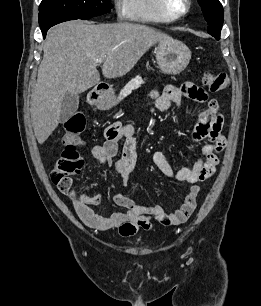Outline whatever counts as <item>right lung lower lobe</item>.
Here are the masks:
<instances>
[{
  "label": "right lung lower lobe",
  "instance_id": "right-lung-lower-lobe-1",
  "mask_svg": "<svg viewBox=\"0 0 261 306\" xmlns=\"http://www.w3.org/2000/svg\"><path fill=\"white\" fill-rule=\"evenodd\" d=\"M92 17H76L73 15H66V14H50V13H40L39 14V24L40 28L43 34V37H46L47 30L64 21H69V20H76V19H82V20H87Z\"/></svg>",
  "mask_w": 261,
  "mask_h": 306
}]
</instances>
